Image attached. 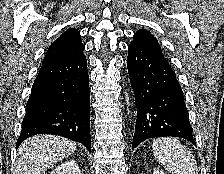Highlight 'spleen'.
<instances>
[{
  "mask_svg": "<svg viewBox=\"0 0 224 174\" xmlns=\"http://www.w3.org/2000/svg\"><path fill=\"white\" fill-rule=\"evenodd\" d=\"M152 148L157 161L171 174H198L194 156L178 139H156Z\"/></svg>",
  "mask_w": 224,
  "mask_h": 174,
  "instance_id": "obj_1",
  "label": "spleen"
}]
</instances>
